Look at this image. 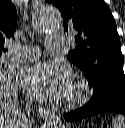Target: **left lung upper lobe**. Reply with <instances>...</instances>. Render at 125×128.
<instances>
[{
    "label": "left lung upper lobe",
    "instance_id": "1",
    "mask_svg": "<svg viewBox=\"0 0 125 128\" xmlns=\"http://www.w3.org/2000/svg\"><path fill=\"white\" fill-rule=\"evenodd\" d=\"M58 7L64 30L75 34L76 48L68 60L76 65L94 89L98 100L110 87L125 83L124 57L116 23L103 0H45Z\"/></svg>",
    "mask_w": 125,
    "mask_h": 128
}]
</instances>
